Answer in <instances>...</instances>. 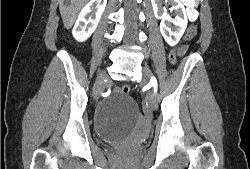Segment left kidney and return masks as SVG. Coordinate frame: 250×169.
Returning <instances> with one entry per match:
<instances>
[{"label": "left kidney", "instance_id": "obj_1", "mask_svg": "<svg viewBox=\"0 0 250 169\" xmlns=\"http://www.w3.org/2000/svg\"><path fill=\"white\" fill-rule=\"evenodd\" d=\"M151 2L156 18H161L160 32L162 36H164L170 46H174V44L179 42L182 34H184L188 22L184 4H182L181 0H167V2L172 4L171 8H174L177 14L175 18H171V16H168L165 8H162V0H151ZM170 22L175 24L176 30H172Z\"/></svg>", "mask_w": 250, "mask_h": 169}]
</instances>
